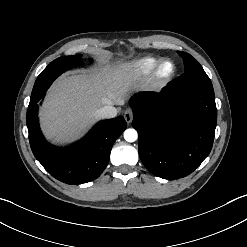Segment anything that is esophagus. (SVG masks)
<instances>
[{"mask_svg":"<svg viewBox=\"0 0 247 247\" xmlns=\"http://www.w3.org/2000/svg\"><path fill=\"white\" fill-rule=\"evenodd\" d=\"M124 119L125 121L130 124L132 122L133 119V113L130 109L126 110L124 113Z\"/></svg>","mask_w":247,"mask_h":247,"instance_id":"esophagus-1","label":"esophagus"}]
</instances>
